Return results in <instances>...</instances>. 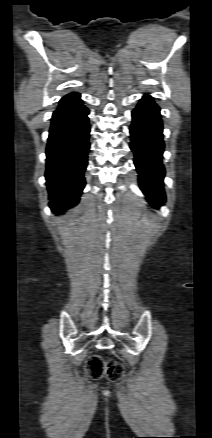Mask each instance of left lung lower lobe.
I'll list each match as a JSON object with an SVG mask.
<instances>
[{"instance_id": "0a47b994", "label": "left lung lower lobe", "mask_w": 212, "mask_h": 438, "mask_svg": "<svg viewBox=\"0 0 212 438\" xmlns=\"http://www.w3.org/2000/svg\"><path fill=\"white\" fill-rule=\"evenodd\" d=\"M162 130L160 109L152 97L145 95L132 112L130 148L135 154L140 188L154 206H160L165 201Z\"/></svg>"}]
</instances>
